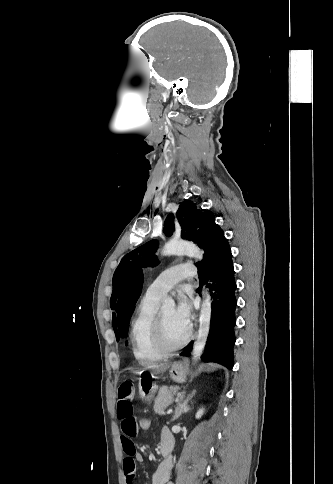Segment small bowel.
<instances>
[{
  "mask_svg": "<svg viewBox=\"0 0 333 484\" xmlns=\"http://www.w3.org/2000/svg\"><path fill=\"white\" fill-rule=\"evenodd\" d=\"M135 394L136 388L131 381L122 382L117 392L116 413L121 426V443L126 454L123 460V470L127 484H136V463L143 461V456L136 450L133 441L139 433L134 409ZM165 440L173 444L172 435L166 428L160 434V441ZM171 467V461L168 464L161 463L152 477V484H174L170 481Z\"/></svg>",
  "mask_w": 333,
  "mask_h": 484,
  "instance_id": "c3829d8e",
  "label": "small bowel"
}]
</instances>
